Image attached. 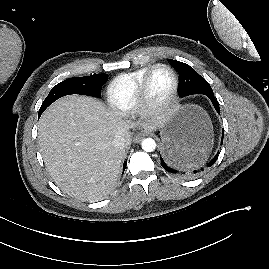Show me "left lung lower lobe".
<instances>
[{"mask_svg":"<svg viewBox=\"0 0 269 269\" xmlns=\"http://www.w3.org/2000/svg\"><path fill=\"white\" fill-rule=\"evenodd\" d=\"M206 95L211 102L213 103L216 111L220 113V108L218 101L214 97L213 93H207ZM222 142H223V133H222ZM161 158V166L168 172L179 175V176H185V177H195L198 174L203 171L205 167H211L217 160L218 154L215 155V157L206 163V165H203L202 167H188L185 169L180 163L178 162L176 156L173 154V152H170L169 154L162 153Z\"/></svg>","mask_w":269,"mask_h":269,"instance_id":"0a47b994","label":"left lung lower lobe"}]
</instances>
